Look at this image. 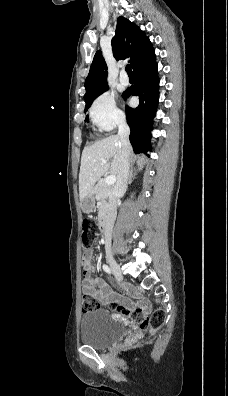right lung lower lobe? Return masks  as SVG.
Returning <instances> with one entry per match:
<instances>
[{
    "label": "right lung lower lobe",
    "instance_id": "1",
    "mask_svg": "<svg viewBox=\"0 0 228 396\" xmlns=\"http://www.w3.org/2000/svg\"><path fill=\"white\" fill-rule=\"evenodd\" d=\"M133 71L135 85L126 90L123 97L138 96L140 103L136 108L126 106L127 123L131 130L129 139L136 154L147 153L151 151L150 132L159 100V78L153 47Z\"/></svg>",
    "mask_w": 228,
    "mask_h": 396
}]
</instances>
